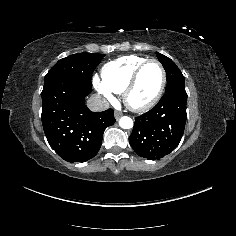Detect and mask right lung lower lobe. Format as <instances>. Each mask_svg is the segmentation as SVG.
I'll list each match as a JSON object with an SVG mask.
<instances>
[{"label":"right lung lower lobe","mask_w":236,"mask_h":236,"mask_svg":"<svg viewBox=\"0 0 236 236\" xmlns=\"http://www.w3.org/2000/svg\"><path fill=\"white\" fill-rule=\"evenodd\" d=\"M92 86L72 78H61L44 85L42 124L50 146L68 162L93 158L102 144V135L116 121L114 111L91 112L85 96Z\"/></svg>","instance_id":"obj_1"}]
</instances>
